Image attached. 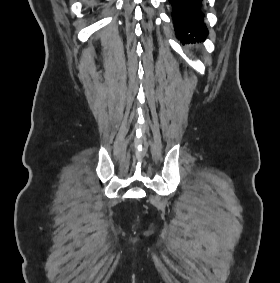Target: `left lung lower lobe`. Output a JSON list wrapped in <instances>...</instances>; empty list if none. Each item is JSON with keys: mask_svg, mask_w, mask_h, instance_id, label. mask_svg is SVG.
Instances as JSON below:
<instances>
[{"mask_svg": "<svg viewBox=\"0 0 280 283\" xmlns=\"http://www.w3.org/2000/svg\"><path fill=\"white\" fill-rule=\"evenodd\" d=\"M177 37L183 42L201 41L208 34L201 11L202 0H169Z\"/></svg>", "mask_w": 280, "mask_h": 283, "instance_id": "1", "label": "left lung lower lobe"}]
</instances>
